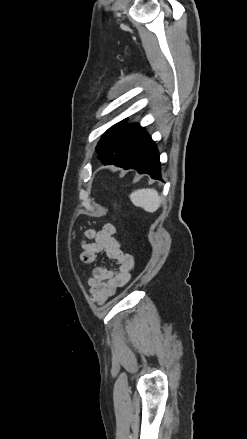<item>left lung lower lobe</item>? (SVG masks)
Listing matches in <instances>:
<instances>
[{"mask_svg": "<svg viewBox=\"0 0 247 439\" xmlns=\"http://www.w3.org/2000/svg\"><path fill=\"white\" fill-rule=\"evenodd\" d=\"M122 167L126 170L136 169L140 174L146 173L152 178L160 179L158 150L144 129L137 136Z\"/></svg>", "mask_w": 247, "mask_h": 439, "instance_id": "1", "label": "left lung lower lobe"}]
</instances>
